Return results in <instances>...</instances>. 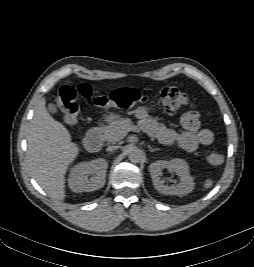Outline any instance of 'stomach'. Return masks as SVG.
<instances>
[{
  "mask_svg": "<svg viewBox=\"0 0 254 267\" xmlns=\"http://www.w3.org/2000/svg\"><path fill=\"white\" fill-rule=\"evenodd\" d=\"M116 117H118L117 115H113V114H111L109 117H108V119H114V118H116Z\"/></svg>",
  "mask_w": 254,
  "mask_h": 267,
  "instance_id": "0dacf381",
  "label": "stomach"
}]
</instances>
